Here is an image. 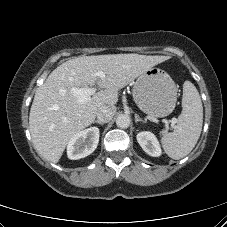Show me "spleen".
Here are the masks:
<instances>
[{
  "mask_svg": "<svg viewBox=\"0 0 227 227\" xmlns=\"http://www.w3.org/2000/svg\"><path fill=\"white\" fill-rule=\"evenodd\" d=\"M182 108L176 129L164 134L161 139L165 153L175 160L192 151L202 130V102L198 90L190 81L183 84Z\"/></svg>",
  "mask_w": 227,
  "mask_h": 227,
  "instance_id": "obj_1",
  "label": "spleen"
}]
</instances>
